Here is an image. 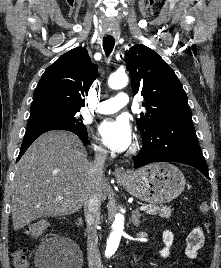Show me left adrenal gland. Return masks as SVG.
I'll return each mask as SVG.
<instances>
[{
  "label": "left adrenal gland",
  "instance_id": "a2214340",
  "mask_svg": "<svg viewBox=\"0 0 221 268\" xmlns=\"http://www.w3.org/2000/svg\"><path fill=\"white\" fill-rule=\"evenodd\" d=\"M142 217V214L139 212L138 209L132 211L131 214V219H132V223L136 226L139 227L140 225V218Z\"/></svg>",
  "mask_w": 221,
  "mask_h": 268
}]
</instances>
